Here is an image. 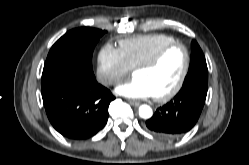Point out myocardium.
Listing matches in <instances>:
<instances>
[{
  "label": "myocardium",
  "mask_w": 249,
  "mask_h": 165,
  "mask_svg": "<svg viewBox=\"0 0 249 165\" xmlns=\"http://www.w3.org/2000/svg\"><path fill=\"white\" fill-rule=\"evenodd\" d=\"M175 47H180L184 51V55H185L184 66H183L181 74H180L176 84L174 85V87L162 95L154 96V99L157 102H166V101L170 100L171 98H173L181 90V88L185 82V79L187 77V74H188V71L190 68V61H191L190 52H189L187 46L185 44H183L182 42H178V41L168 43V44L162 46L160 49H158L157 52L151 58L142 62L141 64L137 65L134 68V73L136 71L147 70V69L153 68L161 61L163 56L169 50H171L172 48H175Z\"/></svg>",
  "instance_id": "f54148a6"
}]
</instances>
